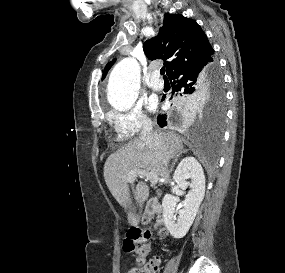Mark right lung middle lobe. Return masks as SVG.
Listing matches in <instances>:
<instances>
[{"instance_id":"dd1d6c3e","label":"right lung middle lobe","mask_w":285,"mask_h":273,"mask_svg":"<svg viewBox=\"0 0 285 273\" xmlns=\"http://www.w3.org/2000/svg\"><path fill=\"white\" fill-rule=\"evenodd\" d=\"M208 94H212L217 97L218 104L216 106V115L219 119H221L224 115V109L222 108L220 104L221 100L219 99L222 96V77L219 72L218 64L216 61L207 82L193 95H180L182 97L180 101L183 105H185L190 102H193L197 98V96H203Z\"/></svg>"}]
</instances>
